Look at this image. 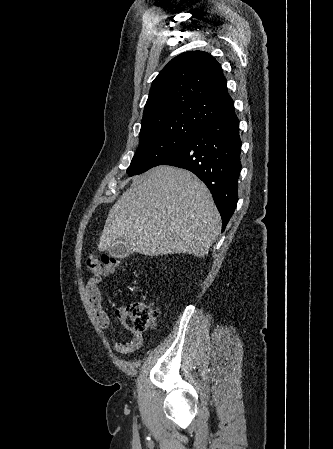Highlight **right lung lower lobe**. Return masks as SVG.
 <instances>
[{
  "label": "right lung lower lobe",
  "mask_w": 333,
  "mask_h": 449,
  "mask_svg": "<svg viewBox=\"0 0 333 449\" xmlns=\"http://www.w3.org/2000/svg\"><path fill=\"white\" fill-rule=\"evenodd\" d=\"M241 139L235 111L202 127L162 158L158 165L187 169L209 188L222 218V231L238 201Z\"/></svg>",
  "instance_id": "right-lung-lower-lobe-1"
}]
</instances>
